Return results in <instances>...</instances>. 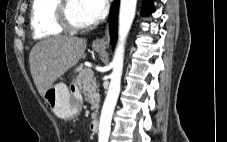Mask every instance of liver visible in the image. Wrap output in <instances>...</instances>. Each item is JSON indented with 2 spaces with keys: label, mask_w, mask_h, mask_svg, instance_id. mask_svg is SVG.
<instances>
[{
  "label": "liver",
  "mask_w": 227,
  "mask_h": 142,
  "mask_svg": "<svg viewBox=\"0 0 227 142\" xmlns=\"http://www.w3.org/2000/svg\"><path fill=\"white\" fill-rule=\"evenodd\" d=\"M86 40L74 36H55L35 44L29 54L30 71L41 96L82 58Z\"/></svg>",
  "instance_id": "liver-1"
}]
</instances>
